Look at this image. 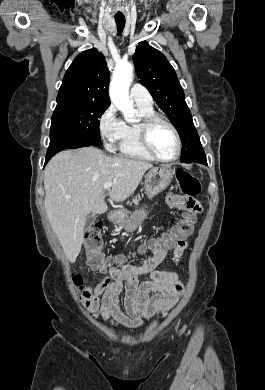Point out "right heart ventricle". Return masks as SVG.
<instances>
[{
    "instance_id": "e07e8e85",
    "label": "right heart ventricle",
    "mask_w": 265,
    "mask_h": 390,
    "mask_svg": "<svg viewBox=\"0 0 265 390\" xmlns=\"http://www.w3.org/2000/svg\"><path fill=\"white\" fill-rule=\"evenodd\" d=\"M136 106L140 116L154 113L152 106ZM118 150L121 156L127 158L147 162L154 161L141 145L137 124L124 123L123 131L118 141Z\"/></svg>"
}]
</instances>
